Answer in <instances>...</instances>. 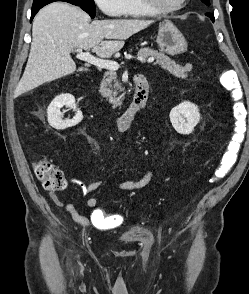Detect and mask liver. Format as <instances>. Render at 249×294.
Segmentation results:
<instances>
[{
	"label": "liver",
	"instance_id": "obj_1",
	"mask_svg": "<svg viewBox=\"0 0 249 294\" xmlns=\"http://www.w3.org/2000/svg\"><path fill=\"white\" fill-rule=\"evenodd\" d=\"M152 21L141 19L95 20L78 7L55 2L43 7L33 21L32 43L24 74L15 96L76 71L74 48L91 49L99 57H111L124 40ZM107 40H103V39ZM87 70L80 67L78 71Z\"/></svg>",
	"mask_w": 249,
	"mask_h": 294
}]
</instances>
